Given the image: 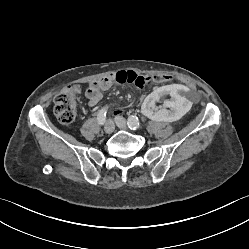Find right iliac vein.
Listing matches in <instances>:
<instances>
[{"mask_svg": "<svg viewBox=\"0 0 249 249\" xmlns=\"http://www.w3.org/2000/svg\"><path fill=\"white\" fill-rule=\"evenodd\" d=\"M114 129H115L114 122L111 119L107 120L104 126L105 133L111 134L114 131Z\"/></svg>", "mask_w": 249, "mask_h": 249, "instance_id": "1", "label": "right iliac vein"}]
</instances>
